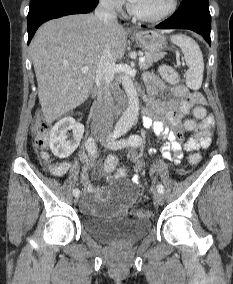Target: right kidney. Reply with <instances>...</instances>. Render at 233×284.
I'll list each match as a JSON object with an SVG mask.
<instances>
[{"label": "right kidney", "mask_w": 233, "mask_h": 284, "mask_svg": "<svg viewBox=\"0 0 233 284\" xmlns=\"http://www.w3.org/2000/svg\"><path fill=\"white\" fill-rule=\"evenodd\" d=\"M73 130L70 137L68 131ZM84 133V126L72 117L59 120L51 129L49 146L58 158L69 157L78 147Z\"/></svg>", "instance_id": "right-kidney-1"}]
</instances>
